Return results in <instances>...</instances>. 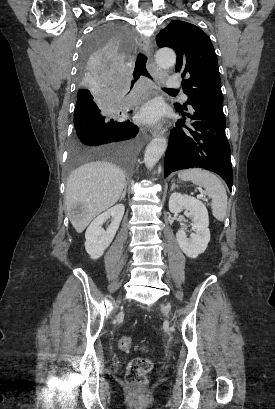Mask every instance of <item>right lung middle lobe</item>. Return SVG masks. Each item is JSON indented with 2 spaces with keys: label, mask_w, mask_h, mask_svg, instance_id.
Listing matches in <instances>:
<instances>
[{
  "label": "right lung middle lobe",
  "mask_w": 275,
  "mask_h": 409,
  "mask_svg": "<svg viewBox=\"0 0 275 409\" xmlns=\"http://www.w3.org/2000/svg\"><path fill=\"white\" fill-rule=\"evenodd\" d=\"M135 48L129 30H122L121 24H98L85 42L84 57H79L75 72L79 90L65 178L73 176L75 167L98 162L136 169L142 138L129 121L128 97L112 92L126 91L124 51Z\"/></svg>",
  "instance_id": "right-lung-middle-lobe-1"
}]
</instances>
